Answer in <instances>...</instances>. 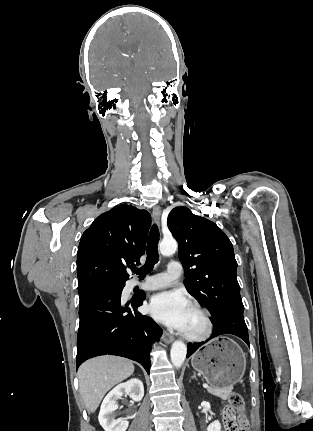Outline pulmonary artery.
I'll list each match as a JSON object with an SVG mask.
<instances>
[{"label": "pulmonary artery", "instance_id": "e3ab8cb5", "mask_svg": "<svg viewBox=\"0 0 313 431\" xmlns=\"http://www.w3.org/2000/svg\"><path fill=\"white\" fill-rule=\"evenodd\" d=\"M182 268L179 262L171 261L168 264L166 272H161L150 276L144 282H135L134 286H138L143 290H157L169 286L174 283L181 275Z\"/></svg>", "mask_w": 313, "mask_h": 431}]
</instances>
